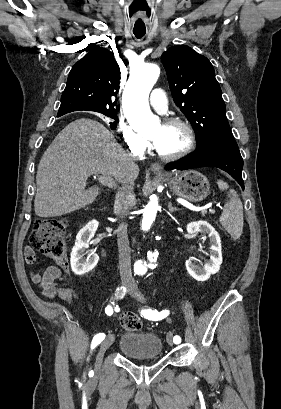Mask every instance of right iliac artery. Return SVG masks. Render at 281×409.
<instances>
[{"instance_id": "right-iliac-artery-1", "label": "right iliac artery", "mask_w": 281, "mask_h": 409, "mask_svg": "<svg viewBox=\"0 0 281 409\" xmlns=\"http://www.w3.org/2000/svg\"><path fill=\"white\" fill-rule=\"evenodd\" d=\"M125 295H126V288H125V287L121 286V287H118V288L116 289V292H115V298H116V299H122V298H124ZM105 313H106L107 315H109V316L113 314L112 305H108V306L105 308ZM104 338H105V334H104V333H99V334H97V335L93 338V340H92V345H91V347H92V348L96 347Z\"/></svg>"}]
</instances>
